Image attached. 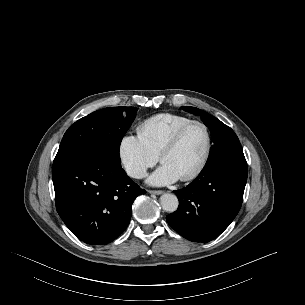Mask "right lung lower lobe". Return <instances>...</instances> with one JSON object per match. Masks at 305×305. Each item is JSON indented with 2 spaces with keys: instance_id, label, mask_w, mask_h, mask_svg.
Instances as JSON below:
<instances>
[{
  "instance_id": "right-lung-lower-lobe-1",
  "label": "right lung lower lobe",
  "mask_w": 305,
  "mask_h": 305,
  "mask_svg": "<svg viewBox=\"0 0 305 305\" xmlns=\"http://www.w3.org/2000/svg\"><path fill=\"white\" fill-rule=\"evenodd\" d=\"M52 179L59 216L74 235L92 245L116 239L130 222L133 201L146 193L120 163L94 151L55 158Z\"/></svg>"
}]
</instances>
